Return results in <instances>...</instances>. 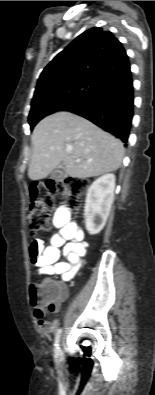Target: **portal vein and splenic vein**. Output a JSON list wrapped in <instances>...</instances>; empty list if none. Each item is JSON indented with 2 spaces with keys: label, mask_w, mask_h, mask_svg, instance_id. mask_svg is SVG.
<instances>
[{
  "label": "portal vein and splenic vein",
  "mask_w": 155,
  "mask_h": 395,
  "mask_svg": "<svg viewBox=\"0 0 155 395\" xmlns=\"http://www.w3.org/2000/svg\"><path fill=\"white\" fill-rule=\"evenodd\" d=\"M80 161H81V159H80V158H77V159H76V162H80Z\"/></svg>",
  "instance_id": "18ae733b"
}]
</instances>
